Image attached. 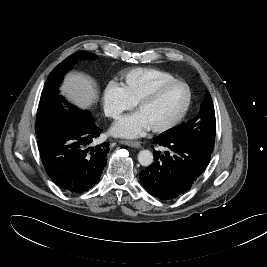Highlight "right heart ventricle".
Here are the masks:
<instances>
[{
    "label": "right heart ventricle",
    "instance_id": "1",
    "mask_svg": "<svg viewBox=\"0 0 267 267\" xmlns=\"http://www.w3.org/2000/svg\"><path fill=\"white\" fill-rule=\"evenodd\" d=\"M121 77L122 85L134 103L159 84L175 79L170 73L155 68L131 69L122 73Z\"/></svg>",
    "mask_w": 267,
    "mask_h": 267
}]
</instances>
